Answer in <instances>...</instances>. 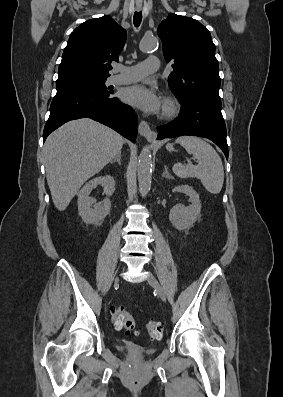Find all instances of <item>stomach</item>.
<instances>
[{"label": "stomach", "mask_w": 283, "mask_h": 397, "mask_svg": "<svg viewBox=\"0 0 283 397\" xmlns=\"http://www.w3.org/2000/svg\"><path fill=\"white\" fill-rule=\"evenodd\" d=\"M167 149L170 151V150H173V146L171 145V144H168L167 146Z\"/></svg>", "instance_id": "stomach-1"}]
</instances>
